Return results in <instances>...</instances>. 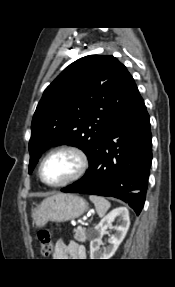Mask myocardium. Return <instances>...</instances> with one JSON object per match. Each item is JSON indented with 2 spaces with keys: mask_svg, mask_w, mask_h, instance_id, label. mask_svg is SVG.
<instances>
[{
  "mask_svg": "<svg viewBox=\"0 0 175 287\" xmlns=\"http://www.w3.org/2000/svg\"><path fill=\"white\" fill-rule=\"evenodd\" d=\"M59 152H70V153H72L78 160V168H77L76 172L72 176H70L68 179H66L60 183H55V184L48 183L45 181V179L43 177V166L49 157H51L52 155L59 153ZM88 168H89V157L84 150H82L79 147L72 146V145H62V146L53 148L43 157V159L41 160L40 165H39L38 174H39L40 180L46 186L52 187V188H60V187H64L66 185H69V184L79 180L80 178H82L84 176V174L87 172Z\"/></svg>",
  "mask_w": 175,
  "mask_h": 287,
  "instance_id": "f54148a6",
  "label": "myocardium"
}]
</instances>
